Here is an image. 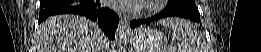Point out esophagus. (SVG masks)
Here are the masks:
<instances>
[{
	"label": "esophagus",
	"instance_id": "34e87169",
	"mask_svg": "<svg viewBox=\"0 0 261 52\" xmlns=\"http://www.w3.org/2000/svg\"><path fill=\"white\" fill-rule=\"evenodd\" d=\"M118 30L122 35H128L130 33L128 17L124 16L120 19Z\"/></svg>",
	"mask_w": 261,
	"mask_h": 52
}]
</instances>
